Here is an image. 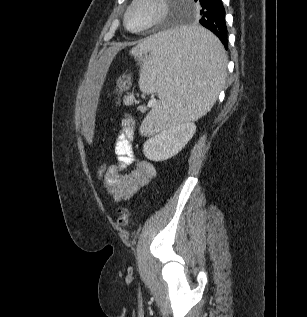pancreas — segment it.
I'll use <instances>...</instances> for the list:
<instances>
[{
	"label": "pancreas",
	"mask_w": 307,
	"mask_h": 317,
	"mask_svg": "<svg viewBox=\"0 0 307 317\" xmlns=\"http://www.w3.org/2000/svg\"><path fill=\"white\" fill-rule=\"evenodd\" d=\"M141 109L145 110V107H142Z\"/></svg>",
	"instance_id": "cf45deb5"
}]
</instances>
